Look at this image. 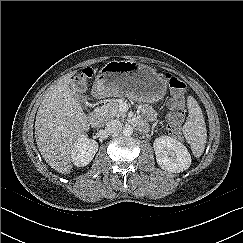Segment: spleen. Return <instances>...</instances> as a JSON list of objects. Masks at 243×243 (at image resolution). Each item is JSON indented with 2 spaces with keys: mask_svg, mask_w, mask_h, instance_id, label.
<instances>
[{
  "mask_svg": "<svg viewBox=\"0 0 243 243\" xmlns=\"http://www.w3.org/2000/svg\"><path fill=\"white\" fill-rule=\"evenodd\" d=\"M187 105L189 114L183 126V133L191 146L193 154L199 157L204 152L207 142L205 120L201 108L193 97H188Z\"/></svg>",
  "mask_w": 243,
  "mask_h": 243,
  "instance_id": "obj_1",
  "label": "spleen"
}]
</instances>
